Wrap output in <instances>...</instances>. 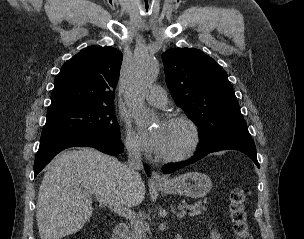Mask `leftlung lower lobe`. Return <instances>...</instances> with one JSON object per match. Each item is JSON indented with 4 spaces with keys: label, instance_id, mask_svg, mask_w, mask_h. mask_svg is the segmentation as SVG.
<instances>
[{
    "label": "left lung lower lobe",
    "instance_id": "left-lung-lower-lobe-1",
    "mask_svg": "<svg viewBox=\"0 0 304 239\" xmlns=\"http://www.w3.org/2000/svg\"><path fill=\"white\" fill-rule=\"evenodd\" d=\"M226 149H233L243 152L244 154L249 156L259 168V163L257 161V155H256V147L253 139L230 138L211 144L209 146H204L199 148L198 151L195 153V155L189 160L180 163L165 165L163 168V173L164 174L171 173L185 165H189L193 162H196L197 160L201 159L202 157H204L209 153L220 150H226Z\"/></svg>",
    "mask_w": 304,
    "mask_h": 239
}]
</instances>
